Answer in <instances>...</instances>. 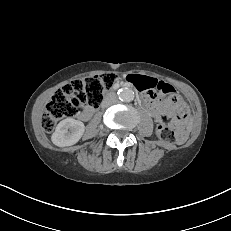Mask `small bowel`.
<instances>
[{
    "instance_id": "1",
    "label": "small bowel",
    "mask_w": 231,
    "mask_h": 231,
    "mask_svg": "<svg viewBox=\"0 0 231 231\" xmlns=\"http://www.w3.org/2000/svg\"><path fill=\"white\" fill-rule=\"evenodd\" d=\"M133 78L144 79L145 84L148 87H155L159 82H161L151 76H134L131 78V81ZM142 95L148 100L150 112L157 121H161L163 115L171 113L174 108H177L178 106H184V103L181 100L180 96H178L174 92L169 94V99H167L163 104L153 101L150 98L148 91H144Z\"/></svg>"
}]
</instances>
